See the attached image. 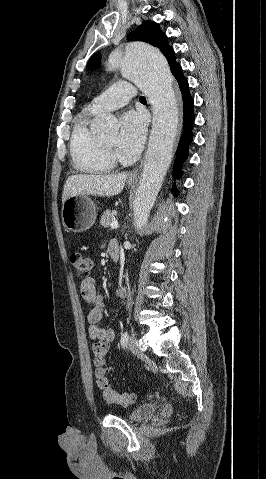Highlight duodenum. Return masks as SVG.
Wrapping results in <instances>:
<instances>
[{
  "mask_svg": "<svg viewBox=\"0 0 266 479\" xmlns=\"http://www.w3.org/2000/svg\"><path fill=\"white\" fill-rule=\"evenodd\" d=\"M108 252L111 257V259L114 262H117L119 257H120V247L118 242L116 241H111L108 247Z\"/></svg>",
  "mask_w": 266,
  "mask_h": 479,
  "instance_id": "duodenum-1",
  "label": "duodenum"
}]
</instances>
